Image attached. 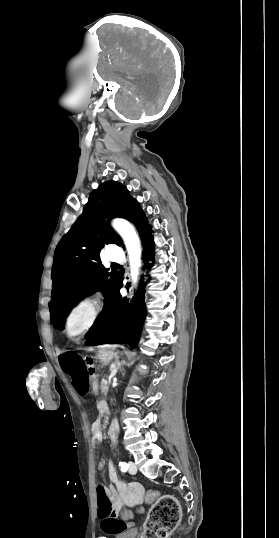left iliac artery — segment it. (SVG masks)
<instances>
[{
    "label": "left iliac artery",
    "instance_id": "1",
    "mask_svg": "<svg viewBox=\"0 0 279 538\" xmlns=\"http://www.w3.org/2000/svg\"><path fill=\"white\" fill-rule=\"evenodd\" d=\"M119 466L122 472H126L129 468V465L126 462H120Z\"/></svg>",
    "mask_w": 279,
    "mask_h": 538
}]
</instances>
